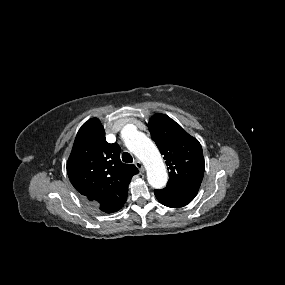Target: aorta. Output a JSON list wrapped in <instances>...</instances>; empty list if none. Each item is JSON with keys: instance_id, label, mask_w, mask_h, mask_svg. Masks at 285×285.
Instances as JSON below:
<instances>
[{"instance_id": "762f6f07", "label": "aorta", "mask_w": 285, "mask_h": 285, "mask_svg": "<svg viewBox=\"0 0 285 285\" xmlns=\"http://www.w3.org/2000/svg\"><path fill=\"white\" fill-rule=\"evenodd\" d=\"M122 136L127 148L146 166L148 183L155 189L163 188L168 175L156 145L134 125L124 127Z\"/></svg>"}]
</instances>
